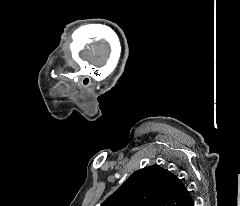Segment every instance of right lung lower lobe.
I'll list each match as a JSON object with an SVG mask.
<instances>
[{
    "mask_svg": "<svg viewBox=\"0 0 240 206\" xmlns=\"http://www.w3.org/2000/svg\"><path fill=\"white\" fill-rule=\"evenodd\" d=\"M187 206H194V202L191 201L189 204H187Z\"/></svg>",
    "mask_w": 240,
    "mask_h": 206,
    "instance_id": "98d812e1",
    "label": "right lung lower lobe"
}]
</instances>
